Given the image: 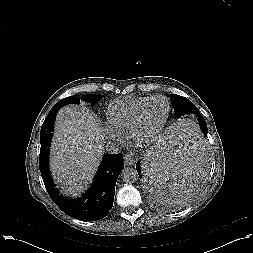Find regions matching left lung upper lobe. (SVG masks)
<instances>
[{"mask_svg": "<svg viewBox=\"0 0 253 253\" xmlns=\"http://www.w3.org/2000/svg\"><path fill=\"white\" fill-rule=\"evenodd\" d=\"M170 101L174 107V112L177 118L188 114H195L198 117L199 125H204L201 127L203 134L206 133L207 135V124L206 122H200L201 114L198 111L197 107L190 100L177 94H170Z\"/></svg>", "mask_w": 253, "mask_h": 253, "instance_id": "left-lung-upper-lobe-1", "label": "left lung upper lobe"}]
</instances>
